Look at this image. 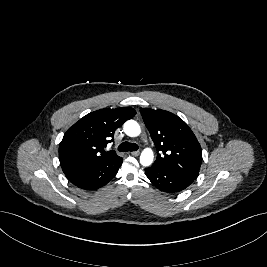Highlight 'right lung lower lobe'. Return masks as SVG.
<instances>
[{
  "mask_svg": "<svg viewBox=\"0 0 267 267\" xmlns=\"http://www.w3.org/2000/svg\"><path fill=\"white\" fill-rule=\"evenodd\" d=\"M123 159L119 156L65 173L77 187L95 190L106 185L117 173Z\"/></svg>",
  "mask_w": 267,
  "mask_h": 267,
  "instance_id": "right-lung-lower-lobe-1",
  "label": "right lung lower lobe"
}]
</instances>
